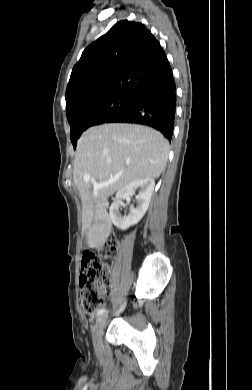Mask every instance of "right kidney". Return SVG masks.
Segmentation results:
<instances>
[{
  "instance_id": "ca27d5eb",
  "label": "right kidney",
  "mask_w": 252,
  "mask_h": 390,
  "mask_svg": "<svg viewBox=\"0 0 252 390\" xmlns=\"http://www.w3.org/2000/svg\"><path fill=\"white\" fill-rule=\"evenodd\" d=\"M155 182L152 178H144L131 182L116 194V201L110 206L109 214L112 223L121 230H126L130 226L137 224L146 213L150 199L154 190ZM139 189L140 193L136 195L137 206L130 208L128 216L120 212L119 201L135 194Z\"/></svg>"
}]
</instances>
